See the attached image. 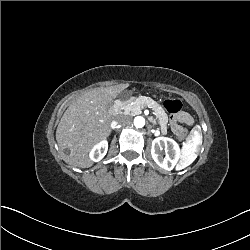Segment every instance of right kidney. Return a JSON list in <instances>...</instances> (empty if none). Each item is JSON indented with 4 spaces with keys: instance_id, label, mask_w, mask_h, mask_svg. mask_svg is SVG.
<instances>
[{
    "instance_id": "obj_1",
    "label": "right kidney",
    "mask_w": 250,
    "mask_h": 250,
    "mask_svg": "<svg viewBox=\"0 0 250 250\" xmlns=\"http://www.w3.org/2000/svg\"><path fill=\"white\" fill-rule=\"evenodd\" d=\"M108 150V141L101 140L99 143L95 144L90 153L89 158L93 162H99L107 153Z\"/></svg>"
}]
</instances>
